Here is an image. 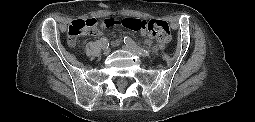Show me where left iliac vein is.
I'll list each match as a JSON object with an SVG mask.
<instances>
[{
	"label": "left iliac vein",
	"instance_id": "4c4485c4",
	"mask_svg": "<svg viewBox=\"0 0 255 122\" xmlns=\"http://www.w3.org/2000/svg\"><path fill=\"white\" fill-rule=\"evenodd\" d=\"M122 48L129 51V52H131V53H133L136 56H141V54L138 51L132 49L131 47H129L127 45H122Z\"/></svg>",
	"mask_w": 255,
	"mask_h": 122
}]
</instances>
